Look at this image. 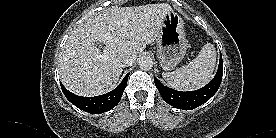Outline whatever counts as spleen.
I'll return each mask as SVG.
<instances>
[{"mask_svg": "<svg viewBox=\"0 0 276 138\" xmlns=\"http://www.w3.org/2000/svg\"><path fill=\"white\" fill-rule=\"evenodd\" d=\"M215 64V47L213 44L207 43L188 65L173 72H163L162 76L170 87L180 91H192L209 82Z\"/></svg>", "mask_w": 276, "mask_h": 138, "instance_id": "spleen-1", "label": "spleen"}]
</instances>
